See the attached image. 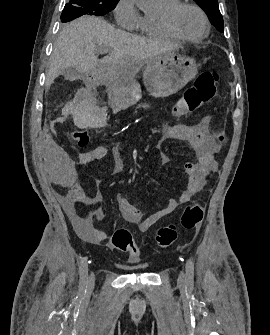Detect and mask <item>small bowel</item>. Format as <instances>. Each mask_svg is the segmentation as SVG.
Listing matches in <instances>:
<instances>
[{"mask_svg": "<svg viewBox=\"0 0 270 335\" xmlns=\"http://www.w3.org/2000/svg\"><path fill=\"white\" fill-rule=\"evenodd\" d=\"M210 119L204 118L194 126L166 125L163 128L165 139L187 140L197 153V162H187L184 166L187 174V186L178 198H170L167 204L159 210L144 217L143 212L132 205L123 194L116 195V202L125 221L138 226L140 232H147L162 218L173 213L180 205L189 202L192 197L200 192L208 180L217 173L218 165L215 155L218 151V144L208 136ZM47 158H41V165H48L44 171V178H68L63 185L69 188L68 193L63 196L65 211L73 226L82 238L90 243L99 244L106 240V234L95 228L92 223L93 217L102 220L106 212L103 206L104 196L100 189L94 195H89L85 188L75 178H80V171L76 166L86 165L101 160L107 156L109 149L98 146L92 150L82 152L77 158H67V149L58 147L54 135L44 136ZM113 157L111 173L121 174L125 164L118 148L110 150ZM161 161L165 163L167 158L162 156ZM98 185L101 180H97ZM98 204L97 210L91 214H81L79 207H89Z\"/></svg>", "mask_w": 270, "mask_h": 335, "instance_id": "small-bowel-1", "label": "small bowel"}]
</instances>
